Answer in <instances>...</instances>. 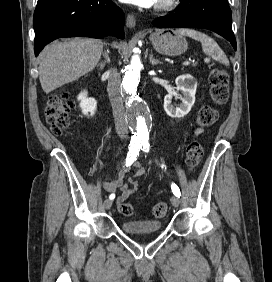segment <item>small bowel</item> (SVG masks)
<instances>
[{
	"mask_svg": "<svg viewBox=\"0 0 272 282\" xmlns=\"http://www.w3.org/2000/svg\"><path fill=\"white\" fill-rule=\"evenodd\" d=\"M201 132L200 129H197L194 132V135H198ZM123 162V160H122ZM134 166L136 167V175H142L145 172L144 167L140 164V162H134ZM132 181H129V184L124 183V170L118 173L115 178L110 182H103L104 189L109 193L120 192L116 199V203L120 205L123 203L130 195H132L139 188V182L132 178Z\"/></svg>",
	"mask_w": 272,
	"mask_h": 282,
	"instance_id": "1",
	"label": "small bowel"
}]
</instances>
